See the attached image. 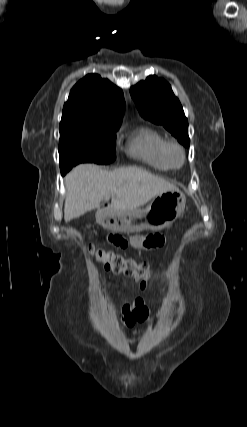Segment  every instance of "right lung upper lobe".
I'll return each instance as SVG.
<instances>
[{
    "label": "right lung upper lobe",
    "instance_id": "1",
    "mask_svg": "<svg viewBox=\"0 0 247 427\" xmlns=\"http://www.w3.org/2000/svg\"><path fill=\"white\" fill-rule=\"evenodd\" d=\"M125 102L122 91L97 74H88L71 90L63 117L74 116L102 125H120Z\"/></svg>",
    "mask_w": 247,
    "mask_h": 427
}]
</instances>
